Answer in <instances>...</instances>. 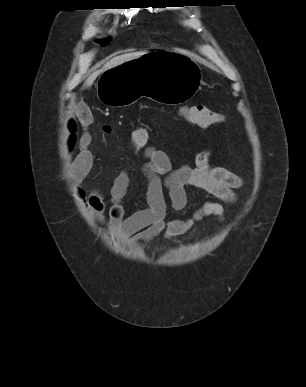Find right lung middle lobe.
Wrapping results in <instances>:
<instances>
[{"label": "right lung middle lobe", "instance_id": "right-lung-middle-lobe-1", "mask_svg": "<svg viewBox=\"0 0 306 387\" xmlns=\"http://www.w3.org/2000/svg\"><path fill=\"white\" fill-rule=\"evenodd\" d=\"M109 41H99V43H101V45H106Z\"/></svg>", "mask_w": 306, "mask_h": 387}]
</instances>
